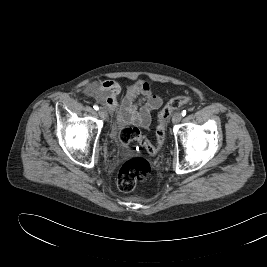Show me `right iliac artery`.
Listing matches in <instances>:
<instances>
[{
    "instance_id": "1",
    "label": "right iliac artery",
    "mask_w": 267,
    "mask_h": 267,
    "mask_svg": "<svg viewBox=\"0 0 267 267\" xmlns=\"http://www.w3.org/2000/svg\"><path fill=\"white\" fill-rule=\"evenodd\" d=\"M93 108H94L95 110H98V109H99L98 105H94Z\"/></svg>"
}]
</instances>
